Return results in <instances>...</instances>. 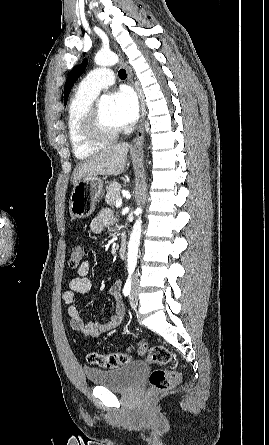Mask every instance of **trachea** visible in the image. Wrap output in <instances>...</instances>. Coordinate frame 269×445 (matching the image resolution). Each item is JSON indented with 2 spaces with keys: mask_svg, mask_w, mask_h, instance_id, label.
Wrapping results in <instances>:
<instances>
[{
  "mask_svg": "<svg viewBox=\"0 0 269 445\" xmlns=\"http://www.w3.org/2000/svg\"><path fill=\"white\" fill-rule=\"evenodd\" d=\"M118 76L120 79H125L127 77L126 71L124 69H120L118 72Z\"/></svg>",
  "mask_w": 269,
  "mask_h": 445,
  "instance_id": "3493384b",
  "label": "trachea"
}]
</instances>
